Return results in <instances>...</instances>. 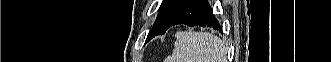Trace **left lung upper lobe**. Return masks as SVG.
<instances>
[{"instance_id":"1","label":"left lung upper lobe","mask_w":331,"mask_h":62,"mask_svg":"<svg viewBox=\"0 0 331 62\" xmlns=\"http://www.w3.org/2000/svg\"><path fill=\"white\" fill-rule=\"evenodd\" d=\"M186 1L187 0H163L158 11L157 19L155 20V23L149 34L153 35V37L162 34V30L167 21L181 8V6Z\"/></svg>"}]
</instances>
